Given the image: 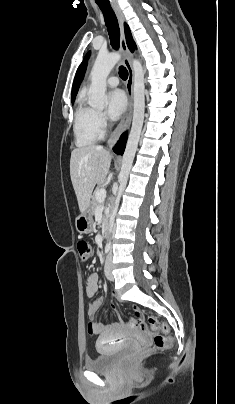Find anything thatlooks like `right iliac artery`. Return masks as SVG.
<instances>
[{
    "label": "right iliac artery",
    "mask_w": 235,
    "mask_h": 404,
    "mask_svg": "<svg viewBox=\"0 0 235 404\" xmlns=\"http://www.w3.org/2000/svg\"><path fill=\"white\" fill-rule=\"evenodd\" d=\"M109 250H110V247H106L105 248V254H107L109 252Z\"/></svg>",
    "instance_id": "right-iliac-artery-1"
}]
</instances>
